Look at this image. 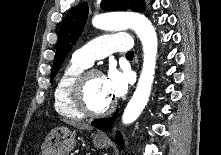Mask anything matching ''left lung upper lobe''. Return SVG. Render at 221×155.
I'll use <instances>...</instances> for the list:
<instances>
[{"mask_svg": "<svg viewBox=\"0 0 221 155\" xmlns=\"http://www.w3.org/2000/svg\"><path fill=\"white\" fill-rule=\"evenodd\" d=\"M101 8L107 11H122L127 9L140 11L144 10L145 3L143 0H102ZM87 16L88 5L86 2L73 7L66 14L61 24L56 44V54L50 81L54 79L64 61V58L80 36Z\"/></svg>", "mask_w": 221, "mask_h": 155, "instance_id": "1", "label": "left lung upper lobe"}]
</instances>
